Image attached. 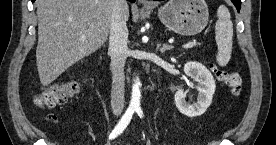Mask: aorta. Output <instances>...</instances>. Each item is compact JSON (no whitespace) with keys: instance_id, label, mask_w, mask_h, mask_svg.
<instances>
[{"instance_id":"aorta-1","label":"aorta","mask_w":276,"mask_h":145,"mask_svg":"<svg viewBox=\"0 0 276 145\" xmlns=\"http://www.w3.org/2000/svg\"><path fill=\"white\" fill-rule=\"evenodd\" d=\"M140 100H141L140 81L138 78H136L132 86L130 105L133 107H138L140 106Z\"/></svg>"}]
</instances>
